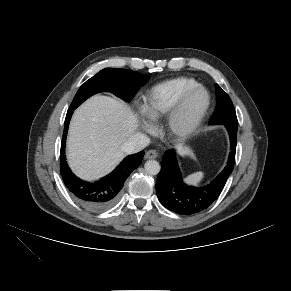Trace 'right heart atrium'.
Segmentation results:
<instances>
[{"label": "right heart atrium", "mask_w": 291, "mask_h": 291, "mask_svg": "<svg viewBox=\"0 0 291 291\" xmlns=\"http://www.w3.org/2000/svg\"><path fill=\"white\" fill-rule=\"evenodd\" d=\"M142 126L147 131L151 130V128H152V125L149 122L144 121V120L142 121Z\"/></svg>", "instance_id": "right-heart-atrium-1"}]
</instances>
